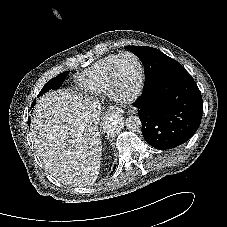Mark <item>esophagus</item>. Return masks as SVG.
Wrapping results in <instances>:
<instances>
[{
    "instance_id": "34e87169",
    "label": "esophagus",
    "mask_w": 227,
    "mask_h": 227,
    "mask_svg": "<svg viewBox=\"0 0 227 227\" xmlns=\"http://www.w3.org/2000/svg\"><path fill=\"white\" fill-rule=\"evenodd\" d=\"M110 115H115L118 118H121L122 114L120 113L119 110H109V112H107L106 116H110Z\"/></svg>"
}]
</instances>
